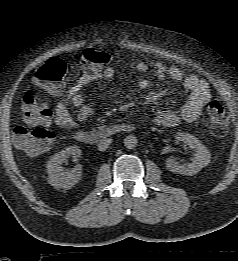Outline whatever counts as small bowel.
Masks as SVG:
<instances>
[{"label":"small bowel","mask_w":238,"mask_h":261,"mask_svg":"<svg viewBox=\"0 0 238 261\" xmlns=\"http://www.w3.org/2000/svg\"><path fill=\"white\" fill-rule=\"evenodd\" d=\"M149 68L154 70L158 79L169 78L181 84L189 92L188 101L179 110L160 112L155 116L154 122L157 125L176 126L181 122H194L199 119L211 98L206 82L194 75L187 74L178 67L168 66L158 61L139 62L135 66L136 71L140 73L146 72ZM114 73L115 70L111 66L102 71L84 72L79 80L68 89L64 99L54 105L51 111L54 125L72 130L77 128L80 123L88 121L94 114V108L86 102L82 94L83 88L100 79H110ZM138 87L140 90H148L151 87V81L143 78L138 82Z\"/></svg>","instance_id":"1"}]
</instances>
